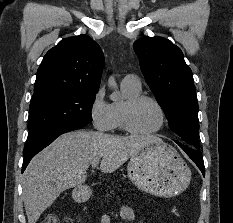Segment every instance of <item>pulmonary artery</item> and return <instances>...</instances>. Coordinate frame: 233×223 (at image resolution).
Masks as SVG:
<instances>
[{"label":"pulmonary artery","mask_w":233,"mask_h":223,"mask_svg":"<svg viewBox=\"0 0 233 223\" xmlns=\"http://www.w3.org/2000/svg\"><path fill=\"white\" fill-rule=\"evenodd\" d=\"M121 85H123V86L140 87L141 86V82H140V79H139V77L137 75H135V74H128L121 81Z\"/></svg>","instance_id":"pulmonary-artery-1"}]
</instances>
